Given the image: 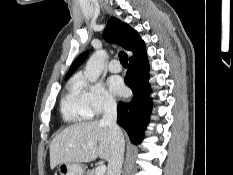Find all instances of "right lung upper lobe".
Segmentation results:
<instances>
[{"label": "right lung upper lobe", "instance_id": "cb5924a9", "mask_svg": "<svg viewBox=\"0 0 233 175\" xmlns=\"http://www.w3.org/2000/svg\"><path fill=\"white\" fill-rule=\"evenodd\" d=\"M103 37L109 42H116L126 50L132 51L133 57L139 56L145 52L144 41L141 40L138 33L129 25L115 17H112L108 21V25L103 34ZM86 56L87 53L84 52L74 61L66 75V79H68L73 71H75L78 66L83 63Z\"/></svg>", "mask_w": 233, "mask_h": 175}]
</instances>
